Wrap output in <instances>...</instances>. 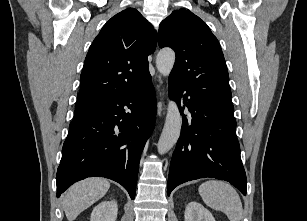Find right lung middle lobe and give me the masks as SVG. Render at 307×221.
I'll return each instance as SVG.
<instances>
[{
	"mask_svg": "<svg viewBox=\"0 0 307 221\" xmlns=\"http://www.w3.org/2000/svg\"><path fill=\"white\" fill-rule=\"evenodd\" d=\"M95 108V106H83V107H76L74 118H78L90 111H92Z\"/></svg>",
	"mask_w": 307,
	"mask_h": 221,
	"instance_id": "1",
	"label": "right lung middle lobe"
}]
</instances>
